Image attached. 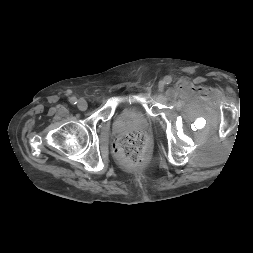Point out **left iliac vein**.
Segmentation results:
<instances>
[{"label": "left iliac vein", "instance_id": "left-iliac-vein-1", "mask_svg": "<svg viewBox=\"0 0 253 253\" xmlns=\"http://www.w3.org/2000/svg\"><path fill=\"white\" fill-rule=\"evenodd\" d=\"M164 86H165V82L164 81H160L159 85H158L159 89L163 90Z\"/></svg>", "mask_w": 253, "mask_h": 253}]
</instances>
